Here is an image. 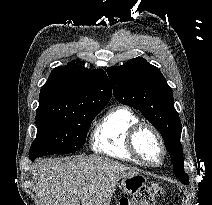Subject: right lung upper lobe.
Wrapping results in <instances>:
<instances>
[{"label":"right lung upper lobe","mask_w":212,"mask_h":205,"mask_svg":"<svg viewBox=\"0 0 212 205\" xmlns=\"http://www.w3.org/2000/svg\"><path fill=\"white\" fill-rule=\"evenodd\" d=\"M112 88L102 69L87 68L69 63L52 70L41 87L37 112H59L81 105H106Z\"/></svg>","instance_id":"obj_1"}]
</instances>
